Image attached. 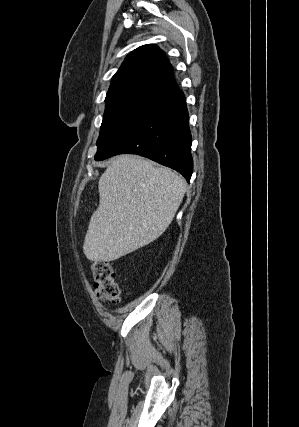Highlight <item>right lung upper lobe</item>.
I'll use <instances>...</instances> for the list:
<instances>
[{
	"mask_svg": "<svg viewBox=\"0 0 299 427\" xmlns=\"http://www.w3.org/2000/svg\"><path fill=\"white\" fill-rule=\"evenodd\" d=\"M179 88L165 53L156 45L140 46L112 77L105 100L133 97L156 102Z\"/></svg>",
	"mask_w": 299,
	"mask_h": 427,
	"instance_id": "cb5924a9",
	"label": "right lung upper lobe"
}]
</instances>
